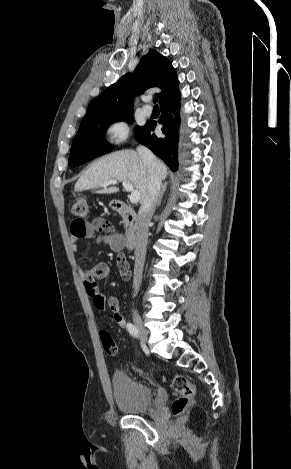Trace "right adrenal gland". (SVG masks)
Here are the masks:
<instances>
[{
  "label": "right adrenal gland",
  "mask_w": 291,
  "mask_h": 469,
  "mask_svg": "<svg viewBox=\"0 0 291 469\" xmlns=\"http://www.w3.org/2000/svg\"><path fill=\"white\" fill-rule=\"evenodd\" d=\"M166 188H167V183H165V184L162 186V190H161V192H160V195H159V198H158V201H157V206H160L161 200H162V197H163V194H164Z\"/></svg>",
  "instance_id": "2a0ac1e0"
}]
</instances>
